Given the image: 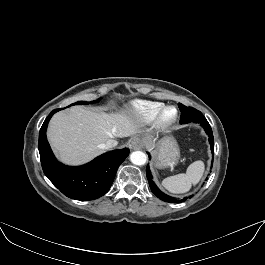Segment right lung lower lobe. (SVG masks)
<instances>
[{
    "instance_id": "right-lung-lower-lobe-1",
    "label": "right lung lower lobe",
    "mask_w": 265,
    "mask_h": 265,
    "mask_svg": "<svg viewBox=\"0 0 265 265\" xmlns=\"http://www.w3.org/2000/svg\"><path fill=\"white\" fill-rule=\"evenodd\" d=\"M53 110L45 119L39 132V153L45 175L64 195L76 200L97 199L108 192L118 167L129 155V149L114 150L78 167L65 166L52 153L46 129Z\"/></svg>"
}]
</instances>
